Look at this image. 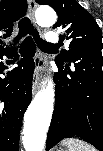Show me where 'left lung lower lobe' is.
<instances>
[{"label":"left lung lower lobe","instance_id":"obj_1","mask_svg":"<svg viewBox=\"0 0 103 151\" xmlns=\"http://www.w3.org/2000/svg\"><path fill=\"white\" fill-rule=\"evenodd\" d=\"M56 103L46 149L63 138L79 137L103 150V57L101 50L78 51L56 62Z\"/></svg>","mask_w":103,"mask_h":151}]
</instances>
